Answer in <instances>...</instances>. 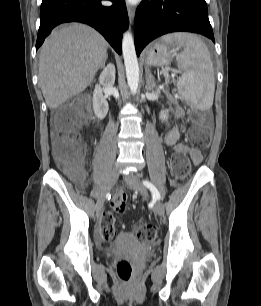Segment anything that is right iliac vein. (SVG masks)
Here are the masks:
<instances>
[{
  "label": "right iliac vein",
  "instance_id": "1",
  "mask_svg": "<svg viewBox=\"0 0 261 306\" xmlns=\"http://www.w3.org/2000/svg\"><path fill=\"white\" fill-rule=\"evenodd\" d=\"M119 177V173L116 169H113L109 176L108 179L106 181V184L101 192V194L99 195L97 202H96V211L97 213H100V211L102 210L103 206H104V202L106 199V195L107 193L112 189V187L114 186V184L117 182Z\"/></svg>",
  "mask_w": 261,
  "mask_h": 306
}]
</instances>
